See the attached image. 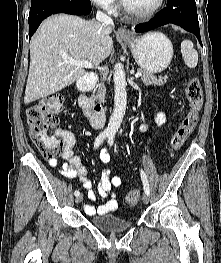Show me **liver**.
Segmentation results:
<instances>
[{
	"mask_svg": "<svg viewBox=\"0 0 221 263\" xmlns=\"http://www.w3.org/2000/svg\"><path fill=\"white\" fill-rule=\"evenodd\" d=\"M111 26L98 21L58 14L48 18L30 45V67L24 103L54 94L85 74L84 67L65 63L67 59L98 65L111 53Z\"/></svg>",
	"mask_w": 221,
	"mask_h": 263,
	"instance_id": "1",
	"label": "liver"
}]
</instances>
